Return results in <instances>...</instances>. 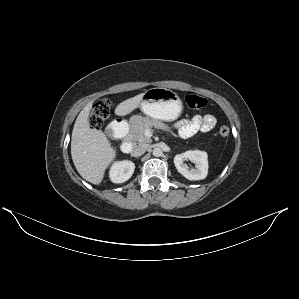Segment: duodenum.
<instances>
[{
  "label": "duodenum",
  "mask_w": 299,
  "mask_h": 299,
  "mask_svg": "<svg viewBox=\"0 0 299 299\" xmlns=\"http://www.w3.org/2000/svg\"><path fill=\"white\" fill-rule=\"evenodd\" d=\"M126 132L127 125L121 119L112 122L107 129V133L110 136H124ZM120 149L124 153H129L133 149V144L130 140L124 138L121 141Z\"/></svg>",
  "instance_id": "1"
}]
</instances>
